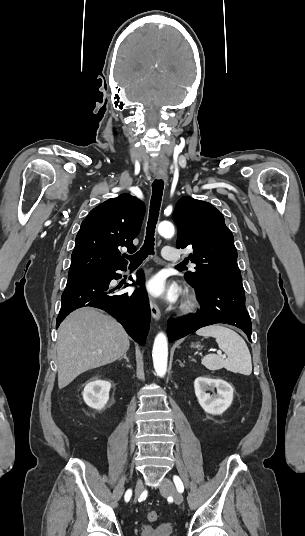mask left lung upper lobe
I'll return each mask as SVG.
<instances>
[{
  "label": "left lung upper lobe",
  "instance_id": "1",
  "mask_svg": "<svg viewBox=\"0 0 305 536\" xmlns=\"http://www.w3.org/2000/svg\"><path fill=\"white\" fill-rule=\"evenodd\" d=\"M172 219L178 226L177 248H193L188 258L196 271L185 273L190 285L243 287L233 234L218 209L185 196L177 202Z\"/></svg>",
  "mask_w": 305,
  "mask_h": 536
}]
</instances>
